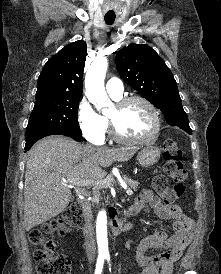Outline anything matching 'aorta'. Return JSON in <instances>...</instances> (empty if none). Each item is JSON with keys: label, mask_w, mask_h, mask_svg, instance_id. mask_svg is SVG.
I'll return each mask as SVG.
<instances>
[{"label": "aorta", "mask_w": 221, "mask_h": 274, "mask_svg": "<svg viewBox=\"0 0 221 274\" xmlns=\"http://www.w3.org/2000/svg\"><path fill=\"white\" fill-rule=\"evenodd\" d=\"M107 68L108 62L105 58L96 59L88 69L85 77L86 96L99 110L110 103L104 87ZM96 233L99 253L108 254L107 215L104 210L98 213Z\"/></svg>", "instance_id": "aorta-1"}]
</instances>
